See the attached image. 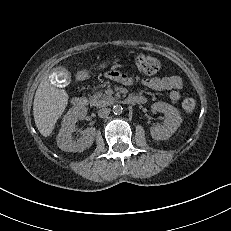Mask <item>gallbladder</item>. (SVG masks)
<instances>
[{
  "label": "gallbladder",
  "instance_id": "gallbladder-1",
  "mask_svg": "<svg viewBox=\"0 0 231 231\" xmlns=\"http://www.w3.org/2000/svg\"><path fill=\"white\" fill-rule=\"evenodd\" d=\"M49 80L55 87L65 88L70 83V74L62 67H55L49 73Z\"/></svg>",
  "mask_w": 231,
  "mask_h": 231
}]
</instances>
